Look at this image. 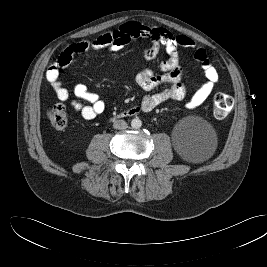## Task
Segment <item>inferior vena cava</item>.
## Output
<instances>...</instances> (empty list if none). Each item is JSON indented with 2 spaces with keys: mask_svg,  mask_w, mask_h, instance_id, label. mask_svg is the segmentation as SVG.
Wrapping results in <instances>:
<instances>
[{
  "mask_svg": "<svg viewBox=\"0 0 267 267\" xmlns=\"http://www.w3.org/2000/svg\"><path fill=\"white\" fill-rule=\"evenodd\" d=\"M127 127H128L127 123L124 120H116L113 123L114 129L122 130V129H126Z\"/></svg>",
  "mask_w": 267,
  "mask_h": 267,
  "instance_id": "obj_1",
  "label": "inferior vena cava"
}]
</instances>
